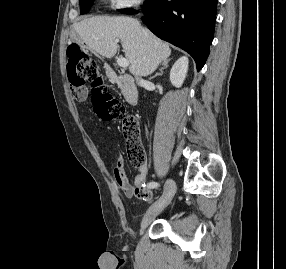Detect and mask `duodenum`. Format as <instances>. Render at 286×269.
Segmentation results:
<instances>
[{
  "label": "duodenum",
  "instance_id": "410a0bca",
  "mask_svg": "<svg viewBox=\"0 0 286 269\" xmlns=\"http://www.w3.org/2000/svg\"><path fill=\"white\" fill-rule=\"evenodd\" d=\"M107 75L118 83L126 102L135 106L138 102V90L133 79L127 74H117L110 66L107 67Z\"/></svg>",
  "mask_w": 286,
  "mask_h": 269
}]
</instances>
